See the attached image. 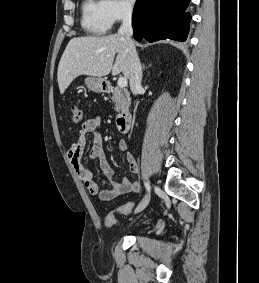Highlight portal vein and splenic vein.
Wrapping results in <instances>:
<instances>
[{
    "label": "portal vein and splenic vein",
    "instance_id": "obj_1",
    "mask_svg": "<svg viewBox=\"0 0 259 283\" xmlns=\"http://www.w3.org/2000/svg\"><path fill=\"white\" fill-rule=\"evenodd\" d=\"M118 87L125 88L127 86V79L125 77H120L117 83Z\"/></svg>",
    "mask_w": 259,
    "mask_h": 283
}]
</instances>
